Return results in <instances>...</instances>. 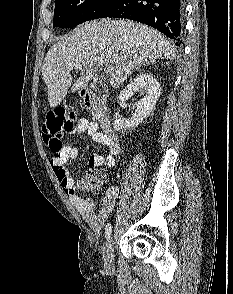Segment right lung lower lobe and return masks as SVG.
Wrapping results in <instances>:
<instances>
[{
	"label": "right lung lower lobe",
	"instance_id": "98d812e1",
	"mask_svg": "<svg viewBox=\"0 0 233 294\" xmlns=\"http://www.w3.org/2000/svg\"><path fill=\"white\" fill-rule=\"evenodd\" d=\"M106 17L128 18L150 25L181 44L182 0H121Z\"/></svg>",
	"mask_w": 233,
	"mask_h": 294
}]
</instances>
